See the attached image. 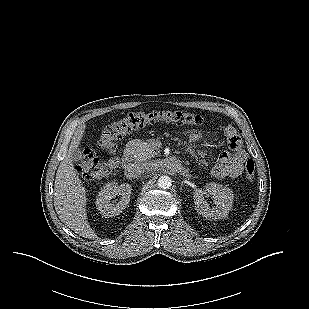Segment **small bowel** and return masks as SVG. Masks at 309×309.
Returning a JSON list of instances; mask_svg holds the SVG:
<instances>
[{"instance_id": "1", "label": "small bowel", "mask_w": 309, "mask_h": 309, "mask_svg": "<svg viewBox=\"0 0 309 309\" xmlns=\"http://www.w3.org/2000/svg\"><path fill=\"white\" fill-rule=\"evenodd\" d=\"M222 130L227 138L230 151H225L220 154L217 163L212 169V174L218 178H235L242 173L248 154L241 148V142L236 146L231 145L233 138H239L234 128L227 126L223 127ZM200 138L201 133L199 131H194L190 135L192 141H197Z\"/></svg>"}]
</instances>
